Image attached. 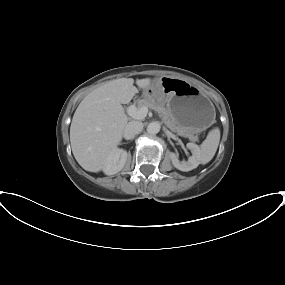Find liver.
Segmentation results:
<instances>
[{"label": "liver", "mask_w": 285, "mask_h": 285, "mask_svg": "<svg viewBox=\"0 0 285 285\" xmlns=\"http://www.w3.org/2000/svg\"><path fill=\"white\" fill-rule=\"evenodd\" d=\"M150 78L137 79L139 88L151 84ZM133 78L106 82L90 92L77 107L70 126L73 155L79 165L90 172L103 169L122 140L128 117L122 104L138 93Z\"/></svg>", "instance_id": "obj_1"}]
</instances>
